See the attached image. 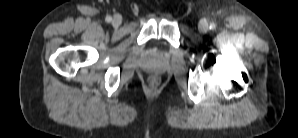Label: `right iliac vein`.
<instances>
[{"label": "right iliac vein", "mask_w": 298, "mask_h": 138, "mask_svg": "<svg viewBox=\"0 0 298 138\" xmlns=\"http://www.w3.org/2000/svg\"><path fill=\"white\" fill-rule=\"evenodd\" d=\"M121 23H122L121 15H119V14L115 15L112 20L113 26L118 27L121 25Z\"/></svg>", "instance_id": "obj_1"}]
</instances>
